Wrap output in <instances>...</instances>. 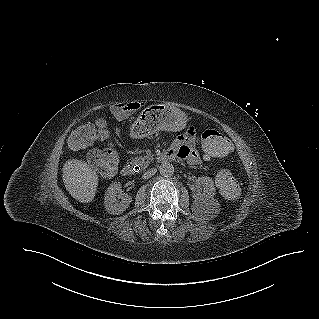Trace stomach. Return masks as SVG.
<instances>
[{
  "label": "stomach",
  "mask_w": 319,
  "mask_h": 319,
  "mask_svg": "<svg viewBox=\"0 0 319 319\" xmlns=\"http://www.w3.org/2000/svg\"><path fill=\"white\" fill-rule=\"evenodd\" d=\"M186 114L170 104H158L145 108L128 126V136L142 141L160 130L181 131L187 125Z\"/></svg>",
  "instance_id": "stomach-1"
}]
</instances>
